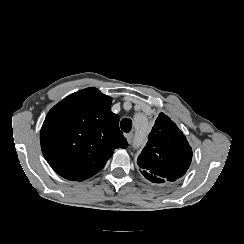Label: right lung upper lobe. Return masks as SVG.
Listing matches in <instances>:
<instances>
[{
  "mask_svg": "<svg viewBox=\"0 0 244 244\" xmlns=\"http://www.w3.org/2000/svg\"><path fill=\"white\" fill-rule=\"evenodd\" d=\"M112 98L94 87L75 92L47 114L40 132L43 155L60 176L83 181L100 171L116 148L128 143Z\"/></svg>",
  "mask_w": 244,
  "mask_h": 244,
  "instance_id": "obj_1",
  "label": "right lung upper lobe"
}]
</instances>
